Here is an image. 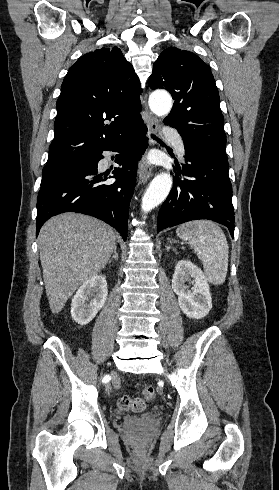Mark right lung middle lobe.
<instances>
[{"label":"right lung middle lobe","mask_w":279,"mask_h":490,"mask_svg":"<svg viewBox=\"0 0 279 490\" xmlns=\"http://www.w3.org/2000/svg\"><path fill=\"white\" fill-rule=\"evenodd\" d=\"M86 167L85 160H74L55 164H46L42 171L41 183L62 176L66 173Z\"/></svg>","instance_id":"right-lung-middle-lobe-1"}]
</instances>
